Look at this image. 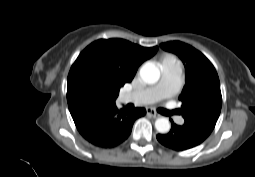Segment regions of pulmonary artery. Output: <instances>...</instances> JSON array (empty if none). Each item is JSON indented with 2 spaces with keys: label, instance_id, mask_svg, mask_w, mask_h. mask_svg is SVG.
I'll list each match as a JSON object with an SVG mask.
<instances>
[{
  "label": "pulmonary artery",
  "instance_id": "pulmonary-artery-1",
  "mask_svg": "<svg viewBox=\"0 0 255 177\" xmlns=\"http://www.w3.org/2000/svg\"><path fill=\"white\" fill-rule=\"evenodd\" d=\"M180 82L181 69H164L158 84L143 90L123 94L121 99L125 103L152 104L174 95L179 89ZM175 119L178 123L183 122L181 117Z\"/></svg>",
  "mask_w": 255,
  "mask_h": 177
}]
</instances>
